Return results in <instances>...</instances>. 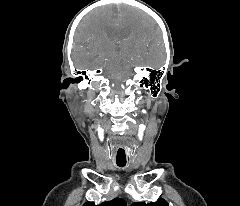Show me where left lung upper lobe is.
Segmentation results:
<instances>
[{
    "label": "left lung upper lobe",
    "instance_id": "left-lung-upper-lobe-1",
    "mask_svg": "<svg viewBox=\"0 0 240 206\" xmlns=\"http://www.w3.org/2000/svg\"><path fill=\"white\" fill-rule=\"evenodd\" d=\"M131 206H168V203L164 199H158L156 202L145 203V202H136Z\"/></svg>",
    "mask_w": 240,
    "mask_h": 206
}]
</instances>
